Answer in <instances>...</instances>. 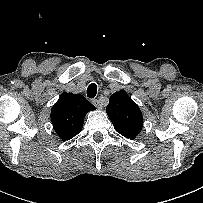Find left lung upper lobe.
Instances as JSON below:
<instances>
[{"label":"left lung upper lobe","mask_w":203,"mask_h":203,"mask_svg":"<svg viewBox=\"0 0 203 203\" xmlns=\"http://www.w3.org/2000/svg\"><path fill=\"white\" fill-rule=\"evenodd\" d=\"M106 112L121 135L135 139L143 127V116L138 105L132 101L125 91L111 95Z\"/></svg>","instance_id":"5c2ea615"}]
</instances>
